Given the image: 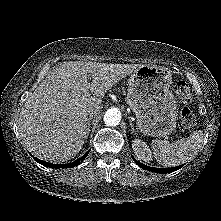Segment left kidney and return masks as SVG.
Listing matches in <instances>:
<instances>
[{
  "mask_svg": "<svg viewBox=\"0 0 221 221\" xmlns=\"http://www.w3.org/2000/svg\"><path fill=\"white\" fill-rule=\"evenodd\" d=\"M132 148L138 159L145 162L152 160V154L147 144L139 139L132 141Z\"/></svg>",
  "mask_w": 221,
  "mask_h": 221,
  "instance_id": "left-kidney-1",
  "label": "left kidney"
}]
</instances>
